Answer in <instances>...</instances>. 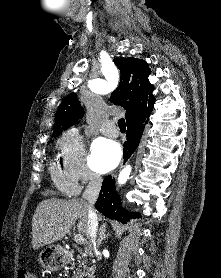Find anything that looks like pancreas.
Here are the masks:
<instances>
[{
  "mask_svg": "<svg viewBox=\"0 0 221 278\" xmlns=\"http://www.w3.org/2000/svg\"><path fill=\"white\" fill-rule=\"evenodd\" d=\"M80 267H82V269H80ZM80 267L75 270L73 278H93L94 267H88L83 262L80 264Z\"/></svg>",
  "mask_w": 221,
  "mask_h": 278,
  "instance_id": "pancreas-1",
  "label": "pancreas"
}]
</instances>
